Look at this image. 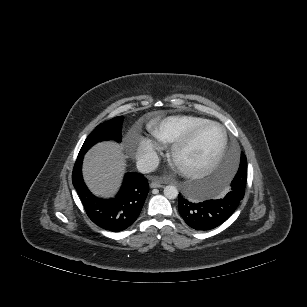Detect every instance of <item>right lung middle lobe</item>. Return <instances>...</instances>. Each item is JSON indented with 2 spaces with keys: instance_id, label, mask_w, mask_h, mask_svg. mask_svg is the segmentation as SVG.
Here are the masks:
<instances>
[{
  "instance_id": "1",
  "label": "right lung middle lobe",
  "mask_w": 307,
  "mask_h": 307,
  "mask_svg": "<svg viewBox=\"0 0 307 307\" xmlns=\"http://www.w3.org/2000/svg\"><path fill=\"white\" fill-rule=\"evenodd\" d=\"M122 116L115 117L107 122L99 124L86 138L79 154H85L94 144L104 140L121 141Z\"/></svg>"
}]
</instances>
